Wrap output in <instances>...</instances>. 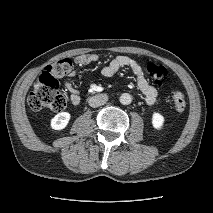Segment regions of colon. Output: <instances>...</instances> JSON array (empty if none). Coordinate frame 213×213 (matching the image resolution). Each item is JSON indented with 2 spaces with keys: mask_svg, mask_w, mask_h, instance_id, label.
I'll use <instances>...</instances> for the list:
<instances>
[{
  "mask_svg": "<svg viewBox=\"0 0 213 213\" xmlns=\"http://www.w3.org/2000/svg\"><path fill=\"white\" fill-rule=\"evenodd\" d=\"M72 67L70 59H60L48 65L36 79L34 88L28 97V106L32 111L48 110L59 112L66 106V96L60 91L57 78L67 74ZM147 72L157 85L167 78V69L162 65L149 64ZM172 105L177 111L186 107L185 95L181 91L172 93Z\"/></svg>",
  "mask_w": 213,
  "mask_h": 213,
  "instance_id": "obj_1",
  "label": "colon"
}]
</instances>
